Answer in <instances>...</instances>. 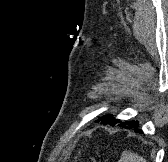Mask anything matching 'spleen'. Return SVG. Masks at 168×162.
Here are the masks:
<instances>
[{"label": "spleen", "mask_w": 168, "mask_h": 162, "mask_svg": "<svg viewBox=\"0 0 168 162\" xmlns=\"http://www.w3.org/2000/svg\"><path fill=\"white\" fill-rule=\"evenodd\" d=\"M118 162H147L143 157L132 153L130 151H124Z\"/></svg>", "instance_id": "spleen-1"}]
</instances>
